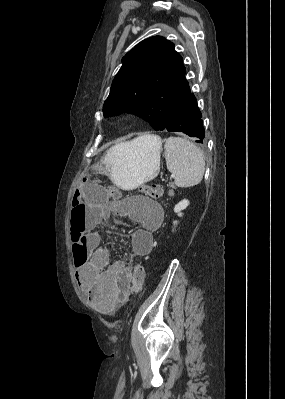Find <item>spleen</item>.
Wrapping results in <instances>:
<instances>
[{
	"instance_id": "3e777b00",
	"label": "spleen",
	"mask_w": 285,
	"mask_h": 399,
	"mask_svg": "<svg viewBox=\"0 0 285 399\" xmlns=\"http://www.w3.org/2000/svg\"><path fill=\"white\" fill-rule=\"evenodd\" d=\"M165 159L178 187H191L201 182L205 171L204 156L188 139L169 137L165 143Z\"/></svg>"
}]
</instances>
